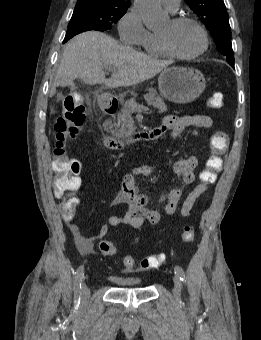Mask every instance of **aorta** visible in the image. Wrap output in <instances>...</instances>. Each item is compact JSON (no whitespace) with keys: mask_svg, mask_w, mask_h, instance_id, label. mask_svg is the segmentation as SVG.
Wrapping results in <instances>:
<instances>
[{"mask_svg":"<svg viewBox=\"0 0 261 340\" xmlns=\"http://www.w3.org/2000/svg\"><path fill=\"white\" fill-rule=\"evenodd\" d=\"M135 4L147 28H156L165 22L167 17L162 12L160 0H135Z\"/></svg>","mask_w":261,"mask_h":340,"instance_id":"762f6f07","label":"aorta"}]
</instances>
